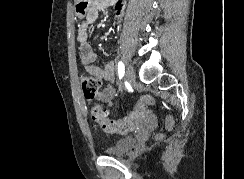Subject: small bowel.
Listing matches in <instances>:
<instances>
[{"label":"small bowel","mask_w":244,"mask_h":179,"mask_svg":"<svg viewBox=\"0 0 244 179\" xmlns=\"http://www.w3.org/2000/svg\"><path fill=\"white\" fill-rule=\"evenodd\" d=\"M112 6L115 14V21L121 23L124 19V7L119 1L110 0H92L89 3L88 17L79 18L80 24L78 29L77 40L80 47V61L84 70L88 73L98 76L101 80L107 83V86L103 88L97 95V98L102 103L111 106L113 104V98L115 90L112 86L115 80V62L113 60L107 61L103 66L95 64L97 59V53L95 49L90 45V26L93 24L101 11L107 7ZM131 116H140V121H137V126L143 124L144 126H153V117L148 116L142 112L141 114H132ZM137 126H126L131 127V130Z\"/></svg>","instance_id":"obj_1"}]
</instances>
